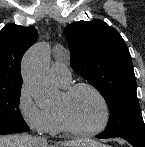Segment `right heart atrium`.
I'll use <instances>...</instances> for the list:
<instances>
[{
	"mask_svg": "<svg viewBox=\"0 0 145 147\" xmlns=\"http://www.w3.org/2000/svg\"><path fill=\"white\" fill-rule=\"evenodd\" d=\"M17 110L23 122L39 133H47L51 129V119L46 108L38 105L30 88L23 83L17 97Z\"/></svg>",
	"mask_w": 145,
	"mask_h": 147,
	"instance_id": "d8ad5b80",
	"label": "right heart atrium"
}]
</instances>
